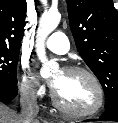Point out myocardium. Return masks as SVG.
Returning a JSON list of instances; mask_svg holds the SVG:
<instances>
[{"label": "myocardium", "instance_id": "myocardium-1", "mask_svg": "<svg viewBox=\"0 0 118 123\" xmlns=\"http://www.w3.org/2000/svg\"><path fill=\"white\" fill-rule=\"evenodd\" d=\"M64 72L68 73H79V74H84L86 75L92 84L95 87L96 94H97V99L93 107L87 110H75L72 108L67 107L65 104L62 103L60 98L58 97L55 89H52L51 96L54 105L61 110L62 112L72 116V117H77V118H84V117H90L95 114H97L103 107L104 101H105V92L104 88L98 79V77L89 69L85 67H80V66H70L66 67L64 69Z\"/></svg>", "mask_w": 118, "mask_h": 123}]
</instances>
